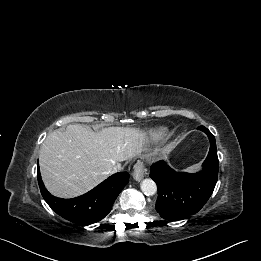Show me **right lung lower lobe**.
Returning a JSON list of instances; mask_svg holds the SVG:
<instances>
[{
    "label": "right lung lower lobe",
    "mask_w": 261,
    "mask_h": 261,
    "mask_svg": "<svg viewBox=\"0 0 261 261\" xmlns=\"http://www.w3.org/2000/svg\"><path fill=\"white\" fill-rule=\"evenodd\" d=\"M37 178L43 198L58 215L73 223L89 225L102 220L111 211L115 199L129 181V173H116L91 191L73 199L52 196L44 187L39 168Z\"/></svg>",
    "instance_id": "1"
}]
</instances>
